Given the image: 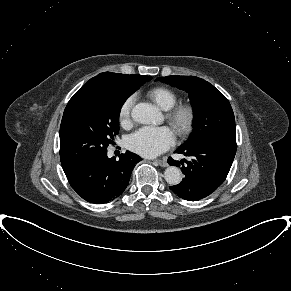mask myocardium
I'll use <instances>...</instances> for the list:
<instances>
[{"label":"myocardium","mask_w":291,"mask_h":291,"mask_svg":"<svg viewBox=\"0 0 291 291\" xmlns=\"http://www.w3.org/2000/svg\"><path fill=\"white\" fill-rule=\"evenodd\" d=\"M196 109L191 103H182L172 107L166 114V119L179 137L191 133L196 122Z\"/></svg>","instance_id":"obj_1"}]
</instances>
